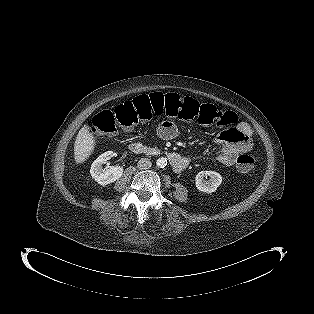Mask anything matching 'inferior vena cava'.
<instances>
[{
    "label": "inferior vena cava",
    "instance_id": "obj_1",
    "mask_svg": "<svg viewBox=\"0 0 314 314\" xmlns=\"http://www.w3.org/2000/svg\"><path fill=\"white\" fill-rule=\"evenodd\" d=\"M151 166H152V163H151L150 159H148V158H141L137 164V167L140 170L149 169Z\"/></svg>",
    "mask_w": 314,
    "mask_h": 314
}]
</instances>
